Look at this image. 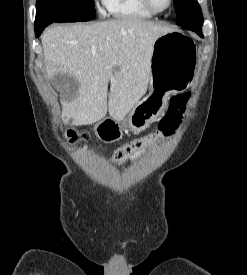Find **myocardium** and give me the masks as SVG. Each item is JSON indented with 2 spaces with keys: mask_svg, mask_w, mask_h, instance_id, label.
<instances>
[{
  "mask_svg": "<svg viewBox=\"0 0 247 275\" xmlns=\"http://www.w3.org/2000/svg\"><path fill=\"white\" fill-rule=\"evenodd\" d=\"M141 1H142L143 6L147 10H149L150 12H152L153 14H162V13H165V12H167L172 7V4H173V0H169L168 1V6L165 9L159 10V9H156L153 6L151 0H141Z\"/></svg>",
  "mask_w": 247,
  "mask_h": 275,
  "instance_id": "obj_1",
  "label": "myocardium"
}]
</instances>
